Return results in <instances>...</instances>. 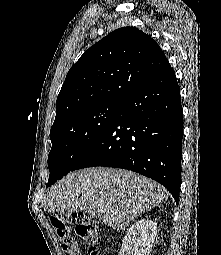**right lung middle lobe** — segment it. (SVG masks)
Instances as JSON below:
<instances>
[{"mask_svg":"<svg viewBox=\"0 0 221 255\" xmlns=\"http://www.w3.org/2000/svg\"><path fill=\"white\" fill-rule=\"evenodd\" d=\"M120 103H103L78 110L53 125L47 187L67 175L103 133Z\"/></svg>","mask_w":221,"mask_h":255,"instance_id":"dd1d6c3e","label":"right lung middle lobe"}]
</instances>
